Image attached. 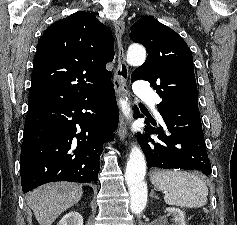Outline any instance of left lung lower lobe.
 Masks as SVG:
<instances>
[{
	"label": "left lung lower lobe",
	"mask_w": 237,
	"mask_h": 225,
	"mask_svg": "<svg viewBox=\"0 0 237 225\" xmlns=\"http://www.w3.org/2000/svg\"><path fill=\"white\" fill-rule=\"evenodd\" d=\"M164 124L158 125L147 115L144 130L157 134L156 138L139 134L137 140L146 156L148 168L195 169L210 175L211 164L202 131L197 104H190L177 110L159 111ZM143 117L134 107V118Z\"/></svg>",
	"instance_id": "obj_1"
}]
</instances>
